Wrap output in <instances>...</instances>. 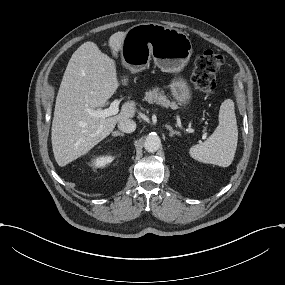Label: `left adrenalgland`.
Here are the masks:
<instances>
[{"label":"left adrenal gland","mask_w":285,"mask_h":285,"mask_svg":"<svg viewBox=\"0 0 285 285\" xmlns=\"http://www.w3.org/2000/svg\"><path fill=\"white\" fill-rule=\"evenodd\" d=\"M165 127L170 131L169 136L172 137L174 134L181 135V133L179 131L173 130V128L170 125L166 124Z\"/></svg>","instance_id":"left-adrenal-gland-1"}]
</instances>
